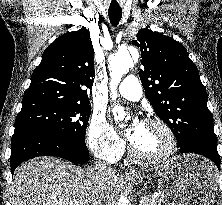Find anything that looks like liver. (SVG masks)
I'll list each match as a JSON object with an SVG mask.
<instances>
[{"mask_svg": "<svg viewBox=\"0 0 222 205\" xmlns=\"http://www.w3.org/2000/svg\"><path fill=\"white\" fill-rule=\"evenodd\" d=\"M121 181L113 169L98 172L58 157L43 156L15 170L10 200L11 205H102Z\"/></svg>", "mask_w": 222, "mask_h": 205, "instance_id": "obj_1", "label": "liver"}]
</instances>
